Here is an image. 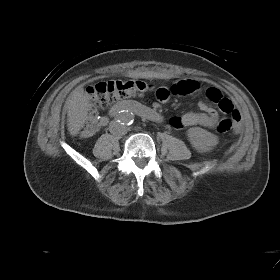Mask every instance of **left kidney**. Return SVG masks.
I'll use <instances>...</instances> for the list:
<instances>
[{
  "label": "left kidney",
  "mask_w": 280,
  "mask_h": 280,
  "mask_svg": "<svg viewBox=\"0 0 280 280\" xmlns=\"http://www.w3.org/2000/svg\"><path fill=\"white\" fill-rule=\"evenodd\" d=\"M192 146L199 152H207L218 144V138L214 134L199 128H190L187 133Z\"/></svg>",
  "instance_id": "1"
}]
</instances>
